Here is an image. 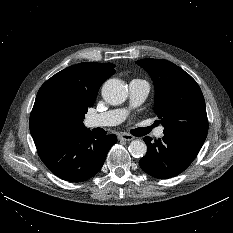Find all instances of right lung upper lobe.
Returning <instances> with one entry per match:
<instances>
[{"mask_svg": "<svg viewBox=\"0 0 233 233\" xmlns=\"http://www.w3.org/2000/svg\"><path fill=\"white\" fill-rule=\"evenodd\" d=\"M114 67L111 63H79L48 79L39 89L30 115L34 142L88 130L84 115L101 84L115 73Z\"/></svg>", "mask_w": 233, "mask_h": 233, "instance_id": "obj_1", "label": "right lung upper lobe"}]
</instances>
